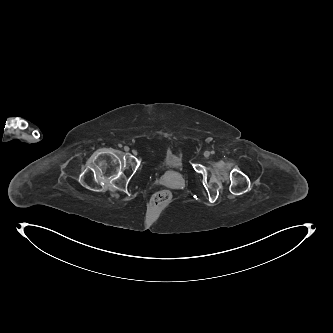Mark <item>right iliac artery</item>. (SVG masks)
I'll use <instances>...</instances> for the list:
<instances>
[{
    "label": "right iliac artery",
    "mask_w": 333,
    "mask_h": 333,
    "mask_svg": "<svg viewBox=\"0 0 333 333\" xmlns=\"http://www.w3.org/2000/svg\"><path fill=\"white\" fill-rule=\"evenodd\" d=\"M120 147H122V145H119ZM124 148H127V149H129V147L128 146H125Z\"/></svg>",
    "instance_id": "1"
}]
</instances>
